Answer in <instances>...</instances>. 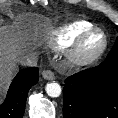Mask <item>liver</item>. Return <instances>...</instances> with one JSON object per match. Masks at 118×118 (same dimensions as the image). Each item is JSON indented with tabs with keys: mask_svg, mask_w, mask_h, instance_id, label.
Instances as JSON below:
<instances>
[{
	"mask_svg": "<svg viewBox=\"0 0 118 118\" xmlns=\"http://www.w3.org/2000/svg\"><path fill=\"white\" fill-rule=\"evenodd\" d=\"M18 18L10 26L0 25V95L9 86L17 63L25 56L31 45L40 43L48 34L47 24H37L32 32L20 29Z\"/></svg>",
	"mask_w": 118,
	"mask_h": 118,
	"instance_id": "obj_1",
	"label": "liver"
}]
</instances>
